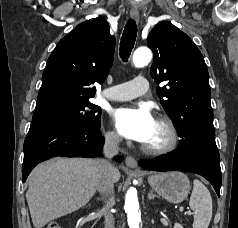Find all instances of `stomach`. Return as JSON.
<instances>
[{"instance_id": "1", "label": "stomach", "mask_w": 238, "mask_h": 228, "mask_svg": "<svg viewBox=\"0 0 238 228\" xmlns=\"http://www.w3.org/2000/svg\"><path fill=\"white\" fill-rule=\"evenodd\" d=\"M148 182L159 195L171 203L184 201L190 192L188 177L177 171L151 174Z\"/></svg>"}]
</instances>
